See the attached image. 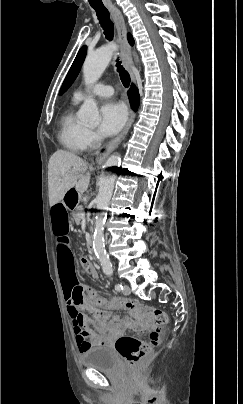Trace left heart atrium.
Wrapping results in <instances>:
<instances>
[{"instance_id": "left-heart-atrium-1", "label": "left heart atrium", "mask_w": 243, "mask_h": 404, "mask_svg": "<svg viewBox=\"0 0 243 404\" xmlns=\"http://www.w3.org/2000/svg\"><path fill=\"white\" fill-rule=\"evenodd\" d=\"M125 120L124 106L117 101L109 100L101 108L99 133L103 136H112L123 127Z\"/></svg>"}]
</instances>
